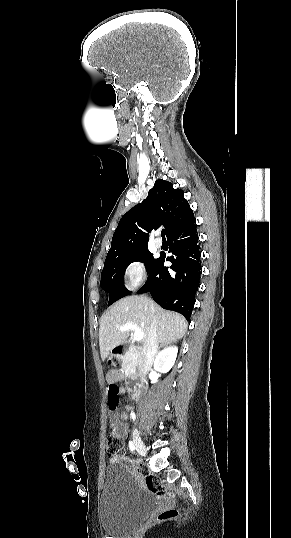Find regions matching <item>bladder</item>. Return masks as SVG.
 <instances>
[{
	"label": "bladder",
	"mask_w": 291,
	"mask_h": 538,
	"mask_svg": "<svg viewBox=\"0 0 291 538\" xmlns=\"http://www.w3.org/2000/svg\"><path fill=\"white\" fill-rule=\"evenodd\" d=\"M154 508L155 502L126 466L106 467L100 496V524L107 534L118 537L131 533Z\"/></svg>",
	"instance_id": "31cf9c89"
}]
</instances>
